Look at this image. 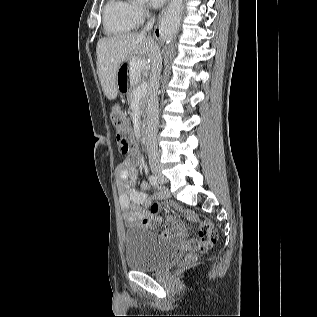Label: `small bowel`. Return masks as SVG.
<instances>
[{
  "mask_svg": "<svg viewBox=\"0 0 317 317\" xmlns=\"http://www.w3.org/2000/svg\"><path fill=\"white\" fill-rule=\"evenodd\" d=\"M117 183L119 189V203L123 212V218L127 224H143L146 227L154 228L161 223V218L151 213L149 207L152 203V198L142 190L148 189L150 186L147 183L141 184V190L136 188L137 174L128 165L123 163L117 168ZM166 196L164 190H159L156 198L163 199ZM187 218L198 224L201 232L211 228V224L196 215L194 212L187 211ZM186 236L185 227L175 218H167V228L162 232L164 238L171 236Z\"/></svg>",
  "mask_w": 317,
  "mask_h": 317,
  "instance_id": "c3829d8e",
  "label": "small bowel"
}]
</instances>
